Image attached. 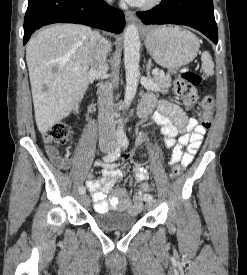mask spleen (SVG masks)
Returning <instances> with one entry per match:
<instances>
[{"instance_id": "1", "label": "spleen", "mask_w": 247, "mask_h": 275, "mask_svg": "<svg viewBox=\"0 0 247 275\" xmlns=\"http://www.w3.org/2000/svg\"><path fill=\"white\" fill-rule=\"evenodd\" d=\"M202 69L207 75L214 74V63L209 52L204 51L201 55Z\"/></svg>"}]
</instances>
